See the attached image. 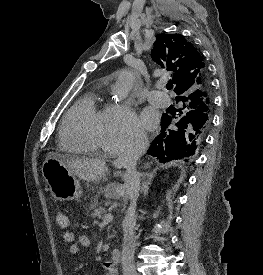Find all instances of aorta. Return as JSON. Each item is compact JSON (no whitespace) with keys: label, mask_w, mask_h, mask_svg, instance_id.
<instances>
[{"label":"aorta","mask_w":263,"mask_h":275,"mask_svg":"<svg viewBox=\"0 0 263 275\" xmlns=\"http://www.w3.org/2000/svg\"><path fill=\"white\" fill-rule=\"evenodd\" d=\"M135 79L136 75L131 70L124 69L119 72L111 91L116 101L123 100L129 95Z\"/></svg>","instance_id":"762f6f07"}]
</instances>
